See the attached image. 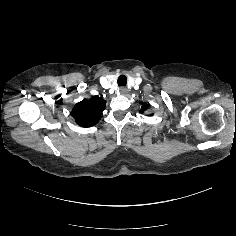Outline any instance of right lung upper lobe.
I'll use <instances>...</instances> for the list:
<instances>
[{
  "instance_id": "1",
  "label": "right lung upper lobe",
  "mask_w": 236,
  "mask_h": 236,
  "mask_svg": "<svg viewBox=\"0 0 236 236\" xmlns=\"http://www.w3.org/2000/svg\"><path fill=\"white\" fill-rule=\"evenodd\" d=\"M106 101L98 96H93L89 100H82L77 103L71 115L76 123L81 127H91L97 124L105 109Z\"/></svg>"
}]
</instances>
